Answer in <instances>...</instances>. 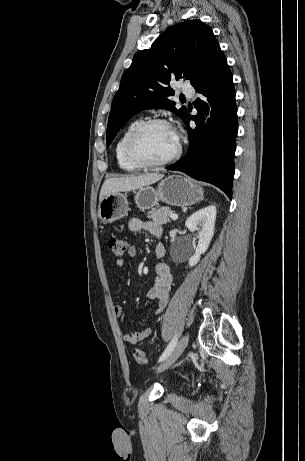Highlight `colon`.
Segmentation results:
<instances>
[{"instance_id":"5ec220e1","label":"colon","mask_w":305,"mask_h":461,"mask_svg":"<svg viewBox=\"0 0 305 461\" xmlns=\"http://www.w3.org/2000/svg\"><path fill=\"white\" fill-rule=\"evenodd\" d=\"M107 246L115 256H122L127 250V241L125 238L111 236L107 240ZM133 358L138 364H146L148 362L146 354L140 349L133 351Z\"/></svg>"}]
</instances>
